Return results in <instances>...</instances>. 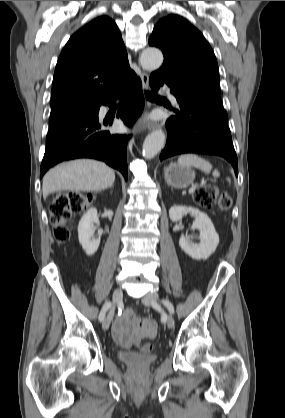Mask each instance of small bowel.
I'll return each mask as SVG.
<instances>
[{
    "mask_svg": "<svg viewBox=\"0 0 285 418\" xmlns=\"http://www.w3.org/2000/svg\"><path fill=\"white\" fill-rule=\"evenodd\" d=\"M111 333L120 347L128 349L133 345H138L143 338H154L157 325L153 319H143L132 308H128L125 314L114 323Z\"/></svg>",
    "mask_w": 285,
    "mask_h": 418,
    "instance_id": "c3829d8e",
    "label": "small bowel"
}]
</instances>
